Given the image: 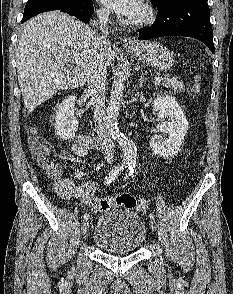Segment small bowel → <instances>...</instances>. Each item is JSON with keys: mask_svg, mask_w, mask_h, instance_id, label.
<instances>
[{"mask_svg": "<svg viewBox=\"0 0 233 294\" xmlns=\"http://www.w3.org/2000/svg\"><path fill=\"white\" fill-rule=\"evenodd\" d=\"M72 150L78 156H85L87 154L88 145L83 138H79L76 144L73 145ZM56 193L65 200L77 199L81 204H90L97 199L93 197L95 187L90 182H85L80 185H75L69 179H59L54 185Z\"/></svg>", "mask_w": 233, "mask_h": 294, "instance_id": "obj_1", "label": "small bowel"}]
</instances>
